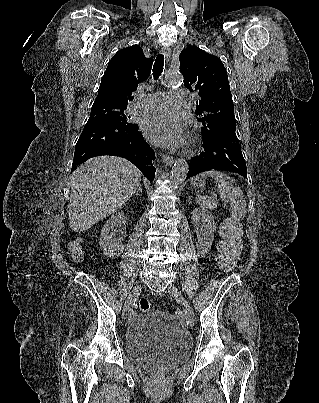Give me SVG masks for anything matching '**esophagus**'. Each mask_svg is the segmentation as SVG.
<instances>
[{
  "instance_id": "34e87169",
  "label": "esophagus",
  "mask_w": 319,
  "mask_h": 403,
  "mask_svg": "<svg viewBox=\"0 0 319 403\" xmlns=\"http://www.w3.org/2000/svg\"><path fill=\"white\" fill-rule=\"evenodd\" d=\"M160 52L162 54H164L166 60L168 61L169 58H170V55H171V49L169 47H162ZM163 162L166 165L170 166V165H172L174 163V158L172 156H169V155H163Z\"/></svg>"
}]
</instances>
